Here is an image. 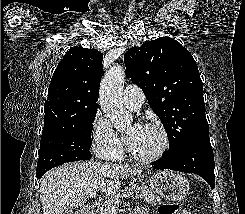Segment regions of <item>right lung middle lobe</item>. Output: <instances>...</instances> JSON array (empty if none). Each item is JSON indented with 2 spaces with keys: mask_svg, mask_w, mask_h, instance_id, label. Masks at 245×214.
Masks as SVG:
<instances>
[{
  "mask_svg": "<svg viewBox=\"0 0 245 214\" xmlns=\"http://www.w3.org/2000/svg\"><path fill=\"white\" fill-rule=\"evenodd\" d=\"M96 111H91L73 126L42 135L36 175L63 163L91 158V130Z\"/></svg>",
  "mask_w": 245,
  "mask_h": 214,
  "instance_id": "1",
  "label": "right lung middle lobe"
}]
</instances>
